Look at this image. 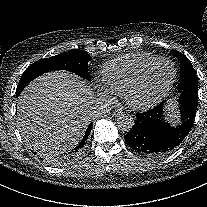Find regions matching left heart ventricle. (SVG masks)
I'll use <instances>...</instances> for the list:
<instances>
[{
    "instance_id": "left-heart-ventricle-1",
    "label": "left heart ventricle",
    "mask_w": 207,
    "mask_h": 207,
    "mask_svg": "<svg viewBox=\"0 0 207 207\" xmlns=\"http://www.w3.org/2000/svg\"><path fill=\"white\" fill-rule=\"evenodd\" d=\"M174 72V67L169 62H161L154 67L147 76V82L137 100L139 102H152L159 100L167 89Z\"/></svg>"
}]
</instances>
